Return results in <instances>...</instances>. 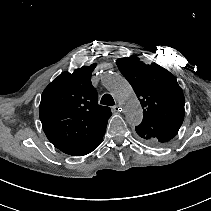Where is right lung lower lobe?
<instances>
[{
  "instance_id": "right-lung-lower-lobe-1",
  "label": "right lung lower lobe",
  "mask_w": 211,
  "mask_h": 211,
  "mask_svg": "<svg viewBox=\"0 0 211 211\" xmlns=\"http://www.w3.org/2000/svg\"><path fill=\"white\" fill-rule=\"evenodd\" d=\"M106 130V129H105ZM105 130L96 137H91L89 139L81 140L79 142H76L74 144H70L67 146H64L62 148H59L62 152L73 155V156H82L86 155L93 150H95L99 144L101 143Z\"/></svg>"
}]
</instances>
